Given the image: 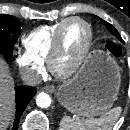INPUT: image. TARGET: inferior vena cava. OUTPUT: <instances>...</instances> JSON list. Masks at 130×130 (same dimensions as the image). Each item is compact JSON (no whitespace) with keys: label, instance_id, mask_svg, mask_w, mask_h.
Wrapping results in <instances>:
<instances>
[{"label":"inferior vena cava","instance_id":"inferior-vena-cava-1","mask_svg":"<svg viewBox=\"0 0 130 130\" xmlns=\"http://www.w3.org/2000/svg\"><path fill=\"white\" fill-rule=\"evenodd\" d=\"M21 78L25 84L29 86H36L39 85L42 81L40 74L36 71L32 70L31 68H25L21 72Z\"/></svg>","mask_w":130,"mask_h":130}]
</instances>
